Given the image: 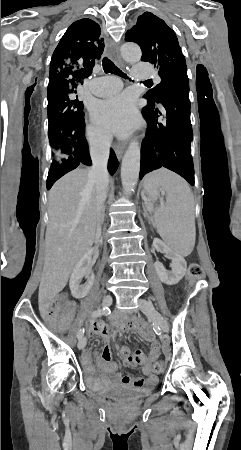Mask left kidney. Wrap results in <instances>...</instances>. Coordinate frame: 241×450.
<instances>
[{
  "mask_svg": "<svg viewBox=\"0 0 241 450\" xmlns=\"http://www.w3.org/2000/svg\"><path fill=\"white\" fill-rule=\"evenodd\" d=\"M153 246L155 250H158V252H163V254H166V258H169L172 262L171 272H167L161 262H155L154 268L157 276H159L163 284H168V286L178 284V282L182 280L183 276H185L187 268L184 258H182V256H177L173 250H170V248H168L162 240H158V238H154Z\"/></svg>",
  "mask_w": 241,
  "mask_h": 450,
  "instance_id": "1",
  "label": "left kidney"
}]
</instances>
